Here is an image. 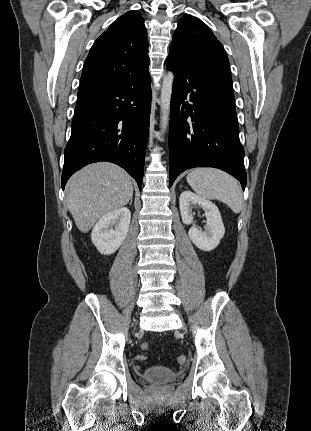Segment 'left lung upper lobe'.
<instances>
[{"label": "left lung upper lobe", "instance_id": "left-lung-upper-lobe-1", "mask_svg": "<svg viewBox=\"0 0 311 431\" xmlns=\"http://www.w3.org/2000/svg\"><path fill=\"white\" fill-rule=\"evenodd\" d=\"M167 59L195 72L232 81L222 44L207 25L193 16L184 15L179 21Z\"/></svg>", "mask_w": 311, "mask_h": 431}]
</instances>
